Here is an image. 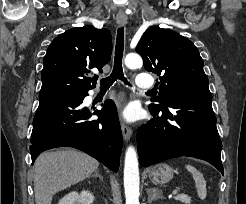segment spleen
Wrapping results in <instances>:
<instances>
[{"label":"spleen","mask_w":246,"mask_h":204,"mask_svg":"<svg viewBox=\"0 0 246 204\" xmlns=\"http://www.w3.org/2000/svg\"><path fill=\"white\" fill-rule=\"evenodd\" d=\"M185 167L193 175L199 198L205 199L207 191L206 181L203 177V174L192 165H185Z\"/></svg>","instance_id":"3e777b00"}]
</instances>
